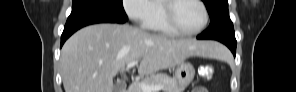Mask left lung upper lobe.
<instances>
[{
	"label": "left lung upper lobe",
	"instance_id": "5c2ea615",
	"mask_svg": "<svg viewBox=\"0 0 296 92\" xmlns=\"http://www.w3.org/2000/svg\"><path fill=\"white\" fill-rule=\"evenodd\" d=\"M210 15V25L203 32L206 39L235 38L233 23L229 17L228 0H202Z\"/></svg>",
	"mask_w": 296,
	"mask_h": 92
}]
</instances>
